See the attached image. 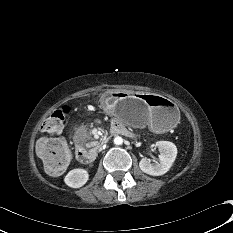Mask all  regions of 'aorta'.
<instances>
[{
	"instance_id": "aorta-1",
	"label": "aorta",
	"mask_w": 233,
	"mask_h": 233,
	"mask_svg": "<svg viewBox=\"0 0 233 233\" xmlns=\"http://www.w3.org/2000/svg\"><path fill=\"white\" fill-rule=\"evenodd\" d=\"M114 144H115V145H122V144H123V139H122V137L116 136V137L114 138Z\"/></svg>"
}]
</instances>
